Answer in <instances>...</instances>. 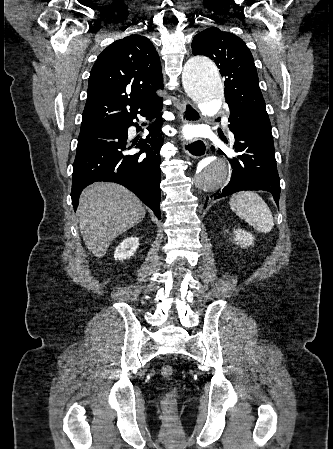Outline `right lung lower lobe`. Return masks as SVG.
Wrapping results in <instances>:
<instances>
[{"mask_svg":"<svg viewBox=\"0 0 333 449\" xmlns=\"http://www.w3.org/2000/svg\"><path fill=\"white\" fill-rule=\"evenodd\" d=\"M161 98L147 105L134 115L102 128L80 131L76 158L73 164L71 198L74 210L78 206L82 190L95 181L122 184L134 192L158 219L160 215V154L163 145ZM156 117L147 128L149 135L138 142L127 141L128 128L137 114ZM135 148L141 151L135 152Z\"/></svg>","mask_w":333,"mask_h":449,"instance_id":"right-lung-lower-lobe-1","label":"right lung lower lobe"}]
</instances>
